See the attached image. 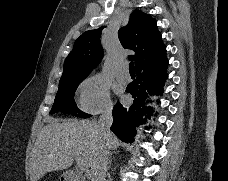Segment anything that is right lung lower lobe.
I'll return each instance as SVG.
<instances>
[{"instance_id": "obj_1", "label": "right lung lower lobe", "mask_w": 228, "mask_h": 181, "mask_svg": "<svg viewBox=\"0 0 228 181\" xmlns=\"http://www.w3.org/2000/svg\"><path fill=\"white\" fill-rule=\"evenodd\" d=\"M166 47L136 66L137 78L131 82L126 92L134 98L131 106L116 104L113 109V124L111 130L126 143H132L136 135V127L150 118L152 108L148 101H156L163 93V85L167 79Z\"/></svg>"}]
</instances>
